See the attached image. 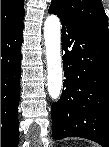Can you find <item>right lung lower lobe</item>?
I'll list each match as a JSON object with an SVG mask.
<instances>
[{"mask_svg":"<svg viewBox=\"0 0 109 147\" xmlns=\"http://www.w3.org/2000/svg\"><path fill=\"white\" fill-rule=\"evenodd\" d=\"M23 20L1 32V146L16 147L19 140L18 104L20 94Z\"/></svg>","mask_w":109,"mask_h":147,"instance_id":"right-lung-lower-lobe-1","label":"right lung lower lobe"}]
</instances>
